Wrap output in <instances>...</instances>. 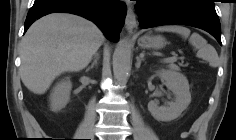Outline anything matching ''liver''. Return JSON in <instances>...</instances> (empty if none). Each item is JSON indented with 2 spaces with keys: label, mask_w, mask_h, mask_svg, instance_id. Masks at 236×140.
<instances>
[{
  "label": "liver",
  "mask_w": 236,
  "mask_h": 140,
  "mask_svg": "<svg viewBox=\"0 0 236 140\" xmlns=\"http://www.w3.org/2000/svg\"><path fill=\"white\" fill-rule=\"evenodd\" d=\"M104 39L94 23L77 15L53 13L42 17L21 42L23 84L35 94H44L61 73L86 68Z\"/></svg>",
  "instance_id": "liver-1"
}]
</instances>
